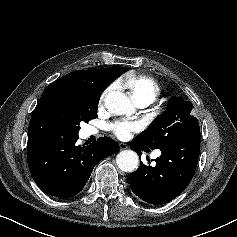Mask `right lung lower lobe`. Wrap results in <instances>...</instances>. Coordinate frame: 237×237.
Wrapping results in <instances>:
<instances>
[{
  "label": "right lung lower lobe",
  "mask_w": 237,
  "mask_h": 237,
  "mask_svg": "<svg viewBox=\"0 0 237 237\" xmlns=\"http://www.w3.org/2000/svg\"><path fill=\"white\" fill-rule=\"evenodd\" d=\"M77 140L78 135H54L28 142L30 173L46 194L73 197L84 188L95 165L119 151V144L109 137L83 146L77 145Z\"/></svg>",
  "instance_id": "obj_1"
}]
</instances>
